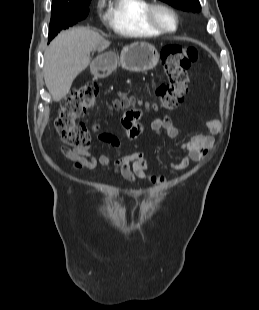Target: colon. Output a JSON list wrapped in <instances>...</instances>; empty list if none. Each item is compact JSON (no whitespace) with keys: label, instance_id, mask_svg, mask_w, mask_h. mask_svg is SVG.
Listing matches in <instances>:
<instances>
[{"label":"colon","instance_id":"5ec220e1","mask_svg":"<svg viewBox=\"0 0 259 310\" xmlns=\"http://www.w3.org/2000/svg\"><path fill=\"white\" fill-rule=\"evenodd\" d=\"M199 59V52L192 46L166 45L161 51L160 64L166 81L154 91L156 105L171 110L184 101L188 92L191 66ZM98 89L94 84H85L74 89L62 103L55 126L60 139L68 146L80 148L89 144L93 129L79 118L94 105ZM134 103L123 98L117 105L128 108Z\"/></svg>","mask_w":259,"mask_h":310}]
</instances>
